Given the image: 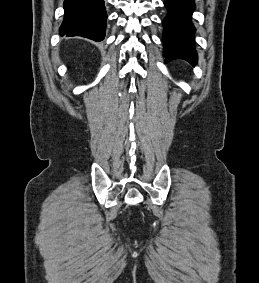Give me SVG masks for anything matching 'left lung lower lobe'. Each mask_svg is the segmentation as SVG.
<instances>
[{"instance_id": "1", "label": "left lung lower lobe", "mask_w": 259, "mask_h": 283, "mask_svg": "<svg viewBox=\"0 0 259 283\" xmlns=\"http://www.w3.org/2000/svg\"><path fill=\"white\" fill-rule=\"evenodd\" d=\"M168 14L163 20L165 63L174 59H184L196 63L198 56L195 49V27L191 16L195 9L194 0H166Z\"/></svg>"}]
</instances>
